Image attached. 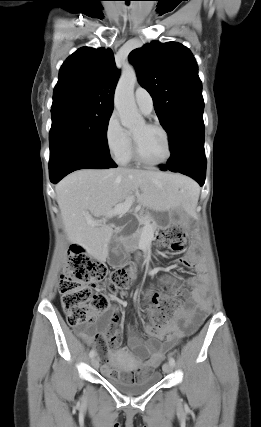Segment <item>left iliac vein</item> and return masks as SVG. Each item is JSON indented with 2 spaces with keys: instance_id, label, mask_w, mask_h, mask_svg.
Instances as JSON below:
<instances>
[{
  "instance_id": "obj_1",
  "label": "left iliac vein",
  "mask_w": 261,
  "mask_h": 427,
  "mask_svg": "<svg viewBox=\"0 0 261 427\" xmlns=\"http://www.w3.org/2000/svg\"><path fill=\"white\" fill-rule=\"evenodd\" d=\"M162 369L165 373H171L172 372V365L170 363H165L163 365Z\"/></svg>"
}]
</instances>
